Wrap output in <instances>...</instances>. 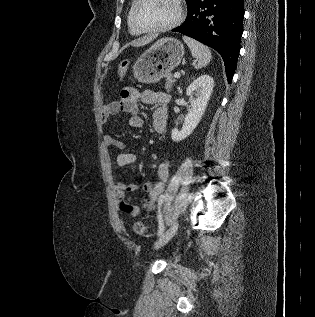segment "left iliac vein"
<instances>
[{
  "label": "left iliac vein",
  "mask_w": 315,
  "mask_h": 317,
  "mask_svg": "<svg viewBox=\"0 0 315 317\" xmlns=\"http://www.w3.org/2000/svg\"><path fill=\"white\" fill-rule=\"evenodd\" d=\"M178 229V222H174L154 243V249H159L168 243Z\"/></svg>",
  "instance_id": "left-iliac-vein-1"
}]
</instances>
